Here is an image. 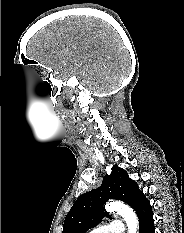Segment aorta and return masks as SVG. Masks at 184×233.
Here are the masks:
<instances>
[{"instance_id": "aorta-1", "label": "aorta", "mask_w": 184, "mask_h": 233, "mask_svg": "<svg viewBox=\"0 0 184 233\" xmlns=\"http://www.w3.org/2000/svg\"><path fill=\"white\" fill-rule=\"evenodd\" d=\"M109 212H117L120 214L128 227V233H138V218L128 205L120 202H112L106 207Z\"/></svg>"}]
</instances>
